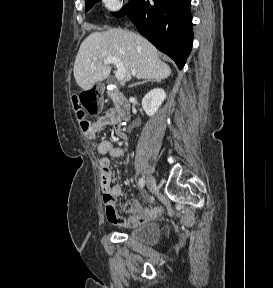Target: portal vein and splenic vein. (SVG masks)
I'll list each match as a JSON object with an SVG mask.
<instances>
[{"label":"portal vein and splenic vein","mask_w":273,"mask_h":288,"mask_svg":"<svg viewBox=\"0 0 273 288\" xmlns=\"http://www.w3.org/2000/svg\"><path fill=\"white\" fill-rule=\"evenodd\" d=\"M93 59H94V61L97 60V58H93ZM104 64L105 65H109V64L116 65L117 71L115 73V77H116L117 80H123L125 78L126 71H125L124 67L122 66V63H121L119 58H117V57H107L104 60Z\"/></svg>","instance_id":"portal-vein-and-splenic-vein-1"}]
</instances>
